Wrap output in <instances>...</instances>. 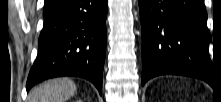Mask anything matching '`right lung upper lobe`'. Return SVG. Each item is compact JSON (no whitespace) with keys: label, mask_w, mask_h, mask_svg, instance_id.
Listing matches in <instances>:
<instances>
[{"label":"right lung upper lobe","mask_w":221,"mask_h":102,"mask_svg":"<svg viewBox=\"0 0 221 102\" xmlns=\"http://www.w3.org/2000/svg\"><path fill=\"white\" fill-rule=\"evenodd\" d=\"M57 0H46L45 5H44V10L52 6L53 4L56 3Z\"/></svg>","instance_id":"right-lung-upper-lobe-1"}]
</instances>
